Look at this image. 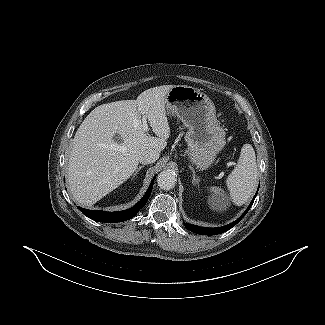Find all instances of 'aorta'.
I'll list each match as a JSON object with an SVG mask.
<instances>
[{"label": "aorta", "mask_w": 325, "mask_h": 325, "mask_svg": "<svg viewBox=\"0 0 325 325\" xmlns=\"http://www.w3.org/2000/svg\"><path fill=\"white\" fill-rule=\"evenodd\" d=\"M176 181V175L171 170H164L157 177L158 186L163 190H170L174 188Z\"/></svg>", "instance_id": "762f6f07"}]
</instances>
